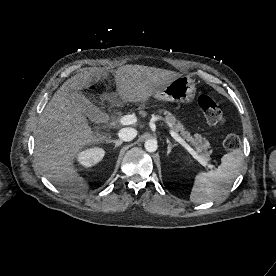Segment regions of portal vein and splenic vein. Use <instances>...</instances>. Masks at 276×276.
Masks as SVG:
<instances>
[{"instance_id": "obj_1", "label": "portal vein and splenic vein", "mask_w": 276, "mask_h": 276, "mask_svg": "<svg viewBox=\"0 0 276 276\" xmlns=\"http://www.w3.org/2000/svg\"><path fill=\"white\" fill-rule=\"evenodd\" d=\"M137 122V117L133 114L131 115H124L120 119V124L123 126L126 125H132ZM171 136L179 143L181 144L202 166L208 167L209 169H213L214 165L209 164L204 158H202L200 155L197 154V152L191 148V146L185 142L184 139H182L175 131L170 130Z\"/></svg>"}]
</instances>
